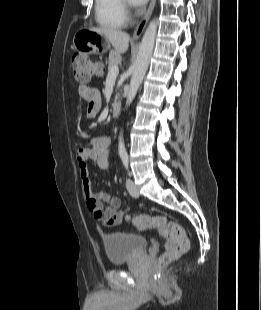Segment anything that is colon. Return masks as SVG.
Instances as JSON below:
<instances>
[{
  "label": "colon",
  "mask_w": 261,
  "mask_h": 310,
  "mask_svg": "<svg viewBox=\"0 0 261 310\" xmlns=\"http://www.w3.org/2000/svg\"><path fill=\"white\" fill-rule=\"evenodd\" d=\"M71 66L74 79L79 84H87L101 71V65L83 53L73 55ZM140 230L155 229L165 239V248L158 263L165 266L178 259L188 250L189 241L183 226L176 220L162 215L137 214L127 217Z\"/></svg>",
  "instance_id": "obj_1"
}]
</instances>
